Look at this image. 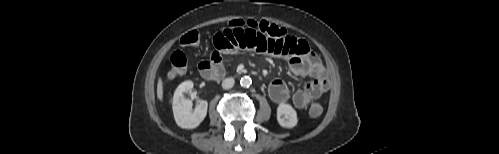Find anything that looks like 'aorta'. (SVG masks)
Here are the masks:
<instances>
[{"instance_id": "762f6f07", "label": "aorta", "mask_w": 499, "mask_h": 154, "mask_svg": "<svg viewBox=\"0 0 499 154\" xmlns=\"http://www.w3.org/2000/svg\"><path fill=\"white\" fill-rule=\"evenodd\" d=\"M251 84H252V80L249 76H244L240 80V85L244 88L250 87Z\"/></svg>"}]
</instances>
